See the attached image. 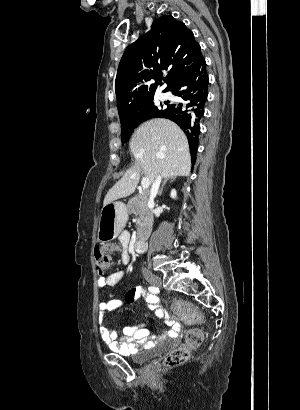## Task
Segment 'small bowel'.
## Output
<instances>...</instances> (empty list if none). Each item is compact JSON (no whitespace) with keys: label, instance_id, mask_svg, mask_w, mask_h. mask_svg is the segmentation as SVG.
<instances>
[{"label":"small bowel","instance_id":"c3829d8e","mask_svg":"<svg viewBox=\"0 0 300 410\" xmlns=\"http://www.w3.org/2000/svg\"><path fill=\"white\" fill-rule=\"evenodd\" d=\"M119 240L121 243V260L122 262L127 263L129 259V236L123 233L120 235ZM123 277L124 272L122 270L114 271L105 277H101L99 279V286L101 288L113 287L117 285L123 279ZM138 298L144 299L148 307L158 317L164 319L166 324L170 326V329L163 332L160 337H153L150 333V330L143 325L126 326L122 330V340H118L117 332L109 328L105 322V313L121 309L126 304H131ZM98 310L99 334L102 341L106 343L112 351L122 355L135 354L143 349L152 346L160 338L176 335L180 330L179 324L172 320L169 314L161 306L159 298L146 293L140 287L132 288L128 292L124 300L112 299L109 301L100 302L98 304Z\"/></svg>","mask_w":300,"mask_h":410}]
</instances>
